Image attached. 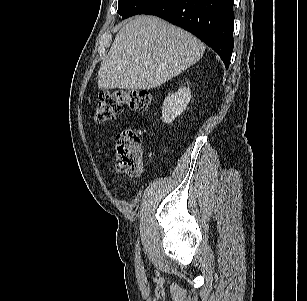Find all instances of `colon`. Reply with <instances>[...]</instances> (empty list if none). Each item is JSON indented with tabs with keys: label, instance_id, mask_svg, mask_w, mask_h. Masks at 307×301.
Listing matches in <instances>:
<instances>
[{
	"label": "colon",
	"instance_id": "5ec220e1",
	"mask_svg": "<svg viewBox=\"0 0 307 301\" xmlns=\"http://www.w3.org/2000/svg\"><path fill=\"white\" fill-rule=\"evenodd\" d=\"M151 95L139 89H115L103 92L96 103L94 117L99 122H109L120 115L124 107L136 112H145ZM117 170L126 175L142 173L143 150L138 131L127 129L119 134L115 144Z\"/></svg>",
	"mask_w": 307,
	"mask_h": 301
}]
</instances>
